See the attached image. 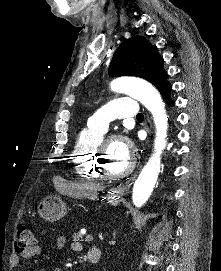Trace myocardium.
Returning a JSON list of instances; mask_svg holds the SVG:
<instances>
[{"mask_svg":"<svg viewBox=\"0 0 221 271\" xmlns=\"http://www.w3.org/2000/svg\"><path fill=\"white\" fill-rule=\"evenodd\" d=\"M113 142H127V137H113ZM129 145L132 143L130 140L127 142ZM99 150H108V145H99ZM128 167L126 170H121L120 173H111L110 170L107 169L105 165V158H98V171L100 172L101 178L108 179H127V175H130L131 172H135L138 170V165H136V158H129Z\"/></svg>","mask_w":221,"mask_h":271,"instance_id":"myocardium-1","label":"myocardium"}]
</instances>
